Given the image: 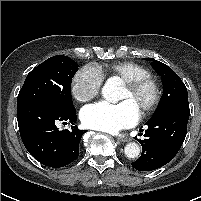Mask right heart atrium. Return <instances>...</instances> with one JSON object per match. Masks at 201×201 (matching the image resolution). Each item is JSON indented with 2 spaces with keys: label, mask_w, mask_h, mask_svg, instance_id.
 <instances>
[{
  "label": "right heart atrium",
  "mask_w": 201,
  "mask_h": 201,
  "mask_svg": "<svg viewBox=\"0 0 201 201\" xmlns=\"http://www.w3.org/2000/svg\"><path fill=\"white\" fill-rule=\"evenodd\" d=\"M103 77L93 66H85L74 75L71 92L78 102H88L95 98L102 86Z\"/></svg>",
  "instance_id": "1"
}]
</instances>
